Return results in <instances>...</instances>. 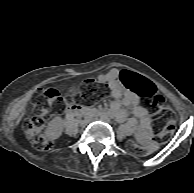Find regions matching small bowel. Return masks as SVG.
Listing matches in <instances>:
<instances>
[{
	"instance_id": "small-bowel-1",
	"label": "small bowel",
	"mask_w": 194,
	"mask_h": 193,
	"mask_svg": "<svg viewBox=\"0 0 194 193\" xmlns=\"http://www.w3.org/2000/svg\"><path fill=\"white\" fill-rule=\"evenodd\" d=\"M99 80L108 85L110 95L114 99L111 104L112 113L119 121L123 122L127 119L128 110H130L138 120L137 139L148 144L151 138L150 116L148 110L138 104L137 93L123 84L120 72L117 69H110L108 72L99 75ZM150 84L153 86L152 83Z\"/></svg>"
}]
</instances>
